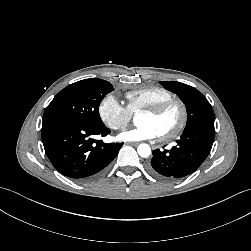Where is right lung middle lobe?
<instances>
[{
	"label": "right lung middle lobe",
	"instance_id": "1",
	"mask_svg": "<svg viewBox=\"0 0 251 251\" xmlns=\"http://www.w3.org/2000/svg\"><path fill=\"white\" fill-rule=\"evenodd\" d=\"M110 82L102 79H84L60 91L47 106L43 124L50 121H71L102 125L99 105L106 94L113 91Z\"/></svg>",
	"mask_w": 251,
	"mask_h": 251
}]
</instances>
